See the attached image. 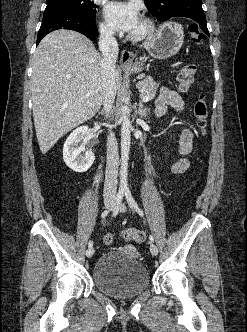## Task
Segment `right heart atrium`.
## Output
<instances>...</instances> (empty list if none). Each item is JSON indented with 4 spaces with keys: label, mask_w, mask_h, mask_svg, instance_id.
<instances>
[{
    "label": "right heart atrium",
    "mask_w": 247,
    "mask_h": 332,
    "mask_svg": "<svg viewBox=\"0 0 247 332\" xmlns=\"http://www.w3.org/2000/svg\"><path fill=\"white\" fill-rule=\"evenodd\" d=\"M99 31L104 41L111 42L114 40V32L106 23H100Z\"/></svg>",
    "instance_id": "right-heart-atrium-1"
}]
</instances>
